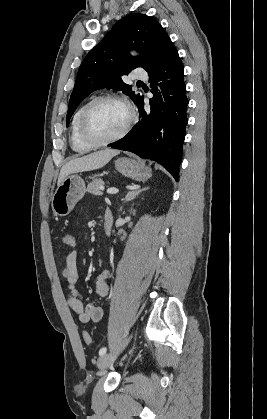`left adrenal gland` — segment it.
I'll list each match as a JSON object with an SVG mask.
<instances>
[{"mask_svg":"<svg viewBox=\"0 0 267 419\" xmlns=\"http://www.w3.org/2000/svg\"><path fill=\"white\" fill-rule=\"evenodd\" d=\"M148 189H149L148 187H144V188H137V189L130 190L127 193L126 197L124 198V202H129L135 199L140 193Z\"/></svg>","mask_w":267,"mask_h":419,"instance_id":"1","label":"left adrenal gland"}]
</instances>
